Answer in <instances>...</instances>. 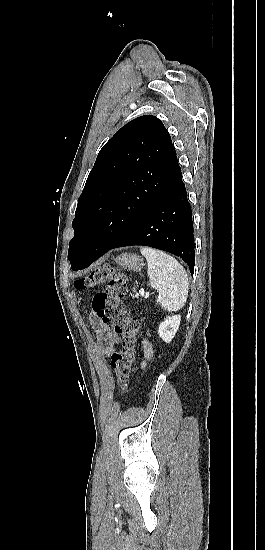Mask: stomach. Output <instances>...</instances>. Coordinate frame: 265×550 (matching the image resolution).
Segmentation results:
<instances>
[{
  "mask_svg": "<svg viewBox=\"0 0 265 550\" xmlns=\"http://www.w3.org/2000/svg\"><path fill=\"white\" fill-rule=\"evenodd\" d=\"M116 263L130 271H140L144 266L141 257L135 254L124 253L116 258Z\"/></svg>",
  "mask_w": 265,
  "mask_h": 550,
  "instance_id": "obj_1",
  "label": "stomach"
}]
</instances>
